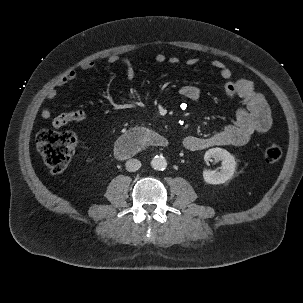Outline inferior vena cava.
Masks as SVG:
<instances>
[{
	"label": "inferior vena cava",
	"instance_id": "602c4592",
	"mask_svg": "<svg viewBox=\"0 0 303 303\" xmlns=\"http://www.w3.org/2000/svg\"><path fill=\"white\" fill-rule=\"evenodd\" d=\"M141 167V162L137 159H130L126 162V169L129 172H135Z\"/></svg>",
	"mask_w": 303,
	"mask_h": 303
}]
</instances>
